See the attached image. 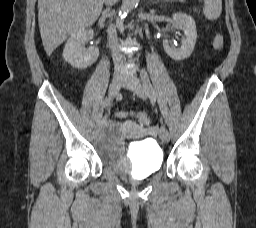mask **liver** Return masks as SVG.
<instances>
[{
	"mask_svg": "<svg viewBox=\"0 0 256 228\" xmlns=\"http://www.w3.org/2000/svg\"><path fill=\"white\" fill-rule=\"evenodd\" d=\"M104 0H38V23L47 55L98 19Z\"/></svg>",
	"mask_w": 256,
	"mask_h": 228,
	"instance_id": "obj_1",
	"label": "liver"
}]
</instances>
